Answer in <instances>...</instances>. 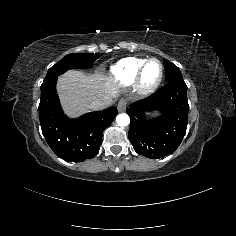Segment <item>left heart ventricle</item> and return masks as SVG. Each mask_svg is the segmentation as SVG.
I'll list each match as a JSON object with an SVG mask.
<instances>
[{"label": "left heart ventricle", "mask_w": 236, "mask_h": 236, "mask_svg": "<svg viewBox=\"0 0 236 236\" xmlns=\"http://www.w3.org/2000/svg\"><path fill=\"white\" fill-rule=\"evenodd\" d=\"M161 73H162V68L159 62L157 61L150 62L142 78L143 85L146 87L154 85L160 78Z\"/></svg>", "instance_id": "left-heart-ventricle-1"}]
</instances>
